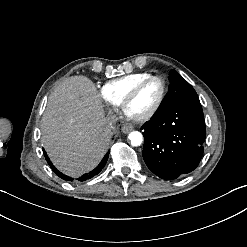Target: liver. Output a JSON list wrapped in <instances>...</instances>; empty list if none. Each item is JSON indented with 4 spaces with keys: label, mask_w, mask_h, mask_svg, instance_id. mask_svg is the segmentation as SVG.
<instances>
[{
    "label": "liver",
    "mask_w": 247,
    "mask_h": 247,
    "mask_svg": "<svg viewBox=\"0 0 247 247\" xmlns=\"http://www.w3.org/2000/svg\"><path fill=\"white\" fill-rule=\"evenodd\" d=\"M100 94L85 76H72L49 97L42 117L41 142L58 170L79 177L106 153L112 131Z\"/></svg>",
    "instance_id": "6515ba94"
}]
</instances>
